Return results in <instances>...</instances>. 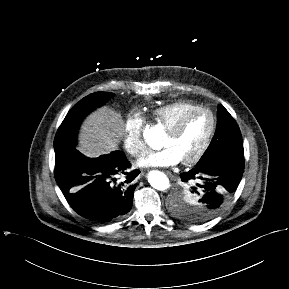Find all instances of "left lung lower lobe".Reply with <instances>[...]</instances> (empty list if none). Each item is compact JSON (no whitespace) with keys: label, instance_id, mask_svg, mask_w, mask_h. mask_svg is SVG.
Masks as SVG:
<instances>
[{"label":"left lung lower lobe","instance_id":"obj_1","mask_svg":"<svg viewBox=\"0 0 289 289\" xmlns=\"http://www.w3.org/2000/svg\"><path fill=\"white\" fill-rule=\"evenodd\" d=\"M243 170L244 157L228 156L196 165L190 171L181 173L180 177L183 182L196 183L191 191L200 206V216L210 220L230 201Z\"/></svg>","mask_w":289,"mask_h":289}]
</instances>
